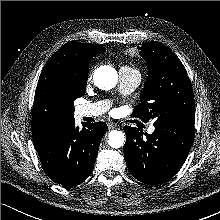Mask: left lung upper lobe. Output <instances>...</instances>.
Listing matches in <instances>:
<instances>
[{"mask_svg": "<svg viewBox=\"0 0 220 220\" xmlns=\"http://www.w3.org/2000/svg\"><path fill=\"white\" fill-rule=\"evenodd\" d=\"M148 76L133 116L159 125L170 120L194 125V95L190 79L180 59L172 50L158 41L142 44Z\"/></svg>", "mask_w": 220, "mask_h": 220, "instance_id": "obj_1", "label": "left lung upper lobe"}]
</instances>
